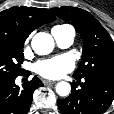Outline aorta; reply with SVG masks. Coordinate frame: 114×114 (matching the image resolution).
<instances>
[{"mask_svg":"<svg viewBox=\"0 0 114 114\" xmlns=\"http://www.w3.org/2000/svg\"><path fill=\"white\" fill-rule=\"evenodd\" d=\"M32 49L38 55H47L54 48V40L50 34L39 32L31 41ZM71 91V86L68 82L61 81L56 85V92L60 96H68Z\"/></svg>","mask_w":114,"mask_h":114,"instance_id":"762f6f07","label":"aorta"}]
</instances>
